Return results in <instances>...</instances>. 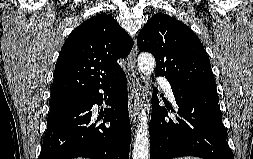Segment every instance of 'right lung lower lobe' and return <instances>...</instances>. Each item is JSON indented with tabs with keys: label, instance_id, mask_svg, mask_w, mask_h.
Masks as SVG:
<instances>
[{
	"label": "right lung lower lobe",
	"instance_id": "98d812e1",
	"mask_svg": "<svg viewBox=\"0 0 253 159\" xmlns=\"http://www.w3.org/2000/svg\"><path fill=\"white\" fill-rule=\"evenodd\" d=\"M103 89L107 104L94 121L92 107L103 102ZM107 122V123H106ZM131 127L128 114L127 81L122 71L112 81L93 90L74 106L47 119V130L38 159H129Z\"/></svg>",
	"mask_w": 253,
	"mask_h": 159
}]
</instances>
